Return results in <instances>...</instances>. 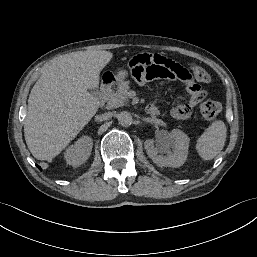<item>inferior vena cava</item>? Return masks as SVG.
<instances>
[{"label": "inferior vena cava", "mask_w": 257, "mask_h": 257, "mask_svg": "<svg viewBox=\"0 0 257 257\" xmlns=\"http://www.w3.org/2000/svg\"><path fill=\"white\" fill-rule=\"evenodd\" d=\"M110 117H112V113L111 112H106V113L97 115L96 119H98V120H108Z\"/></svg>", "instance_id": "inferior-vena-cava-1"}]
</instances>
